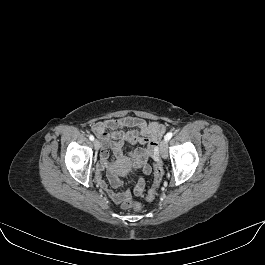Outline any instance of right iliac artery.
<instances>
[{
	"mask_svg": "<svg viewBox=\"0 0 265 265\" xmlns=\"http://www.w3.org/2000/svg\"><path fill=\"white\" fill-rule=\"evenodd\" d=\"M89 139H90L91 141H93V140H94V136H93V135H90V136H89Z\"/></svg>",
	"mask_w": 265,
	"mask_h": 265,
	"instance_id": "82829eb1",
	"label": "right iliac artery"
}]
</instances>
